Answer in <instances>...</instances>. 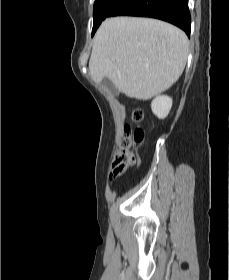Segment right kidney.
Returning <instances> with one entry per match:
<instances>
[{
  "mask_svg": "<svg viewBox=\"0 0 229 280\" xmlns=\"http://www.w3.org/2000/svg\"><path fill=\"white\" fill-rule=\"evenodd\" d=\"M172 107V99L168 96H157L151 103L152 112L159 118L164 119Z\"/></svg>",
  "mask_w": 229,
  "mask_h": 280,
  "instance_id": "ca27d5eb",
  "label": "right kidney"
}]
</instances>
